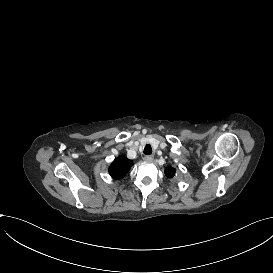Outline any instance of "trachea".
Instances as JSON below:
<instances>
[{"mask_svg": "<svg viewBox=\"0 0 273 273\" xmlns=\"http://www.w3.org/2000/svg\"><path fill=\"white\" fill-rule=\"evenodd\" d=\"M143 152H144V154H146V155L152 154V147H151L149 144H147V145L145 146Z\"/></svg>", "mask_w": 273, "mask_h": 273, "instance_id": "1", "label": "trachea"}]
</instances>
